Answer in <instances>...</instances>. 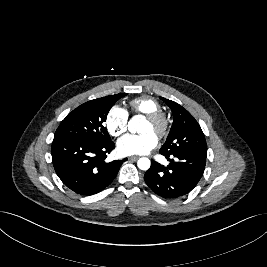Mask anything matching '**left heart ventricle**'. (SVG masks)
Segmentation results:
<instances>
[{
    "mask_svg": "<svg viewBox=\"0 0 267 267\" xmlns=\"http://www.w3.org/2000/svg\"><path fill=\"white\" fill-rule=\"evenodd\" d=\"M142 133H153L155 134V128L153 127V125L149 122V121H145L144 125L141 129Z\"/></svg>",
    "mask_w": 267,
    "mask_h": 267,
    "instance_id": "left-heart-ventricle-1",
    "label": "left heart ventricle"
}]
</instances>
